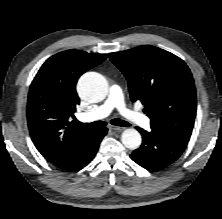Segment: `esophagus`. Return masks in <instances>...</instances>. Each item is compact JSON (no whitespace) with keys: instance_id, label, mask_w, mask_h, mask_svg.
Returning a JSON list of instances; mask_svg holds the SVG:
<instances>
[{"instance_id":"34e87169","label":"esophagus","mask_w":222,"mask_h":219,"mask_svg":"<svg viewBox=\"0 0 222 219\" xmlns=\"http://www.w3.org/2000/svg\"><path fill=\"white\" fill-rule=\"evenodd\" d=\"M110 129L116 132H120L124 130V127L111 126Z\"/></svg>"}]
</instances>
